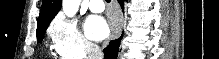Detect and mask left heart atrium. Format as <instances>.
<instances>
[{
	"mask_svg": "<svg viewBox=\"0 0 219 59\" xmlns=\"http://www.w3.org/2000/svg\"><path fill=\"white\" fill-rule=\"evenodd\" d=\"M86 35L95 41H100L107 37L109 27L106 20L102 16L90 15L84 22Z\"/></svg>",
	"mask_w": 219,
	"mask_h": 59,
	"instance_id": "obj_1",
	"label": "left heart atrium"
}]
</instances>
